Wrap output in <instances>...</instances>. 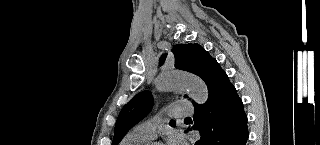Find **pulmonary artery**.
<instances>
[{
	"label": "pulmonary artery",
	"instance_id": "obj_1",
	"mask_svg": "<svg viewBox=\"0 0 320 145\" xmlns=\"http://www.w3.org/2000/svg\"><path fill=\"white\" fill-rule=\"evenodd\" d=\"M191 114H193V110L186 106L185 101H177L164 107L152 118L137 125L134 130L153 139L156 135V129L165 122L167 116L184 117Z\"/></svg>",
	"mask_w": 320,
	"mask_h": 145
}]
</instances>
